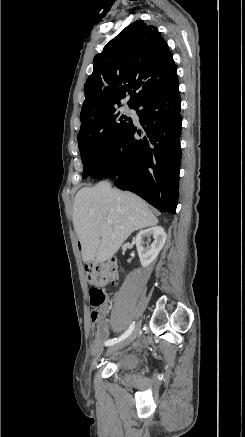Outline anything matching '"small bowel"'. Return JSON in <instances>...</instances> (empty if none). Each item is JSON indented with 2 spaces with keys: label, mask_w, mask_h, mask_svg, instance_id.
<instances>
[{
  "label": "small bowel",
  "mask_w": 245,
  "mask_h": 437,
  "mask_svg": "<svg viewBox=\"0 0 245 437\" xmlns=\"http://www.w3.org/2000/svg\"><path fill=\"white\" fill-rule=\"evenodd\" d=\"M106 307H102L100 309V317L104 316L106 314ZM93 322V321H92ZM94 323V322H93ZM99 326L102 328V333L101 334H95L93 343H92V352L93 354H97L100 352V350L102 349V343L103 341L108 337V328H107V322L105 320H103Z\"/></svg>",
  "instance_id": "obj_1"
}]
</instances>
